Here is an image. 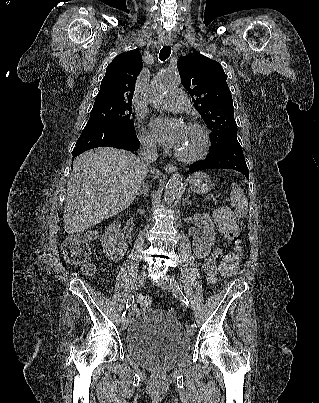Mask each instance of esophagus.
<instances>
[{
  "label": "esophagus",
  "mask_w": 319,
  "mask_h": 403,
  "mask_svg": "<svg viewBox=\"0 0 319 403\" xmlns=\"http://www.w3.org/2000/svg\"><path fill=\"white\" fill-rule=\"evenodd\" d=\"M165 45H167V46L172 45V41L171 40L165 41ZM164 168L167 172H170V173L176 172V170H177L176 166H174L172 164H167V165H165Z\"/></svg>",
  "instance_id": "34e87169"
}]
</instances>
